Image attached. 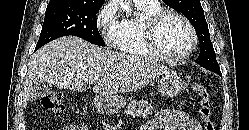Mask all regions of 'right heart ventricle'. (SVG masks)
Masks as SVG:
<instances>
[{
    "mask_svg": "<svg viewBox=\"0 0 249 130\" xmlns=\"http://www.w3.org/2000/svg\"><path fill=\"white\" fill-rule=\"evenodd\" d=\"M135 1L139 12L136 18H126L119 22L113 45L120 52L133 57H151L144 39L145 20L162 10L159 3Z\"/></svg>",
    "mask_w": 249,
    "mask_h": 130,
    "instance_id": "1",
    "label": "right heart ventricle"
}]
</instances>
